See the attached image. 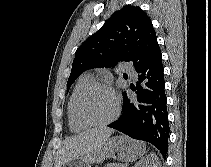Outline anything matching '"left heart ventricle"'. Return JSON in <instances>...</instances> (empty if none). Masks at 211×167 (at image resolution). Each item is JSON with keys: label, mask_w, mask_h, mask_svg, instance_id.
I'll list each match as a JSON object with an SVG mask.
<instances>
[{"label": "left heart ventricle", "mask_w": 211, "mask_h": 167, "mask_svg": "<svg viewBox=\"0 0 211 167\" xmlns=\"http://www.w3.org/2000/svg\"><path fill=\"white\" fill-rule=\"evenodd\" d=\"M114 109V99L111 93L103 88L89 90L80 103L83 116L93 121L107 120L114 113Z\"/></svg>", "instance_id": "obj_1"}]
</instances>
